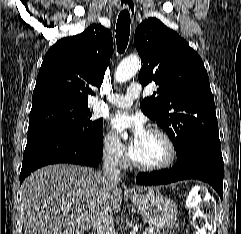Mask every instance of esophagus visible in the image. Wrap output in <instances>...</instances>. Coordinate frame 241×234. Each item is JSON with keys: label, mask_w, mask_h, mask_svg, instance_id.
Returning <instances> with one entry per match:
<instances>
[{"label": "esophagus", "mask_w": 241, "mask_h": 234, "mask_svg": "<svg viewBox=\"0 0 241 234\" xmlns=\"http://www.w3.org/2000/svg\"><path fill=\"white\" fill-rule=\"evenodd\" d=\"M122 6L127 8L130 15L134 16L136 12V3L135 0H122Z\"/></svg>", "instance_id": "obj_1"}]
</instances>
